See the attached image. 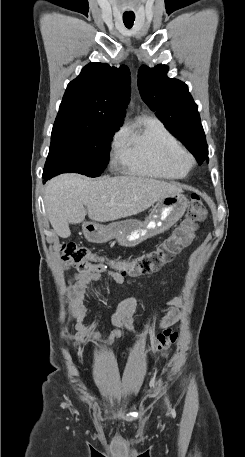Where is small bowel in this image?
I'll return each instance as SVG.
<instances>
[{
    "label": "small bowel",
    "mask_w": 245,
    "mask_h": 457,
    "mask_svg": "<svg viewBox=\"0 0 245 457\" xmlns=\"http://www.w3.org/2000/svg\"><path fill=\"white\" fill-rule=\"evenodd\" d=\"M197 236L191 234L185 244L195 240ZM166 262L165 264H168ZM64 269H68L69 265L64 263L62 265ZM106 276H109L116 283L121 284L124 281V277L119 275L116 271L107 267L100 269H91L87 271H81L79 274L72 276L69 283V291L71 296V303L69 306L70 314L76 319V333L70 336L74 346L77 348H89L102 345L101 335L98 331L87 328L83 324V320L86 314V308L83 304L82 297L85 293L86 286L95 281H100ZM163 285H167V280H162ZM181 305L180 298H174L168 302V306L171 308L170 311L164 315L158 327L161 329L167 328L173 325L179 319V307ZM136 308V299L133 297L122 300L114 314L111 317L112 324L116 327L110 334L107 341L108 345L113 344L117 339L121 338L126 331H135L136 327L133 322L132 313Z\"/></svg>",
    "instance_id": "small-bowel-1"
}]
</instances>
